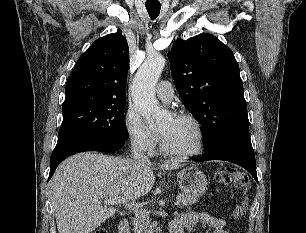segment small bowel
I'll use <instances>...</instances> for the list:
<instances>
[{"label": "small bowel", "mask_w": 306, "mask_h": 233, "mask_svg": "<svg viewBox=\"0 0 306 233\" xmlns=\"http://www.w3.org/2000/svg\"><path fill=\"white\" fill-rule=\"evenodd\" d=\"M171 225H180L181 227L203 225L211 228L212 233H228L227 223L224 219L198 211L180 215L171 223Z\"/></svg>", "instance_id": "c3829d8e"}]
</instances>
